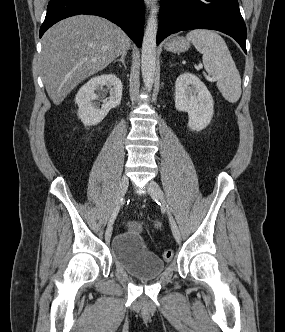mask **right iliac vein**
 Wrapping results in <instances>:
<instances>
[{"label": "right iliac vein", "mask_w": 285, "mask_h": 332, "mask_svg": "<svg viewBox=\"0 0 285 332\" xmlns=\"http://www.w3.org/2000/svg\"><path fill=\"white\" fill-rule=\"evenodd\" d=\"M129 185V180L126 175H123L121 178L118 190H117V195H116V206L121 203V199L124 197ZM112 234V224H110L105 232V239L108 241L111 237Z\"/></svg>", "instance_id": "1"}]
</instances>
